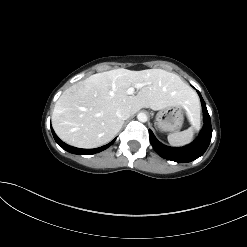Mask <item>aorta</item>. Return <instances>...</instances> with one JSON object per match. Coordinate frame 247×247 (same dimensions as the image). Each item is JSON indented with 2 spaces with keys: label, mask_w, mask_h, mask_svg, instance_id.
Returning <instances> with one entry per match:
<instances>
[{
  "label": "aorta",
  "mask_w": 247,
  "mask_h": 247,
  "mask_svg": "<svg viewBox=\"0 0 247 247\" xmlns=\"http://www.w3.org/2000/svg\"><path fill=\"white\" fill-rule=\"evenodd\" d=\"M137 119L140 121V122H146L148 120V117L147 115L144 113V112H140L138 113L137 115Z\"/></svg>",
  "instance_id": "762f6f07"
}]
</instances>
